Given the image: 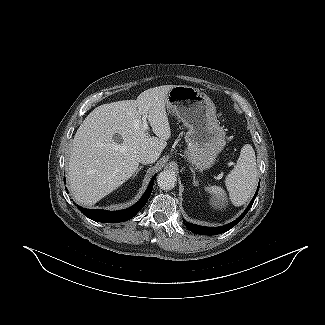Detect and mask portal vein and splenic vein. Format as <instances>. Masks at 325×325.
I'll return each mask as SVG.
<instances>
[{"instance_id":"portal-vein-and-splenic-vein-1","label":"portal vein and splenic vein","mask_w":325,"mask_h":325,"mask_svg":"<svg viewBox=\"0 0 325 325\" xmlns=\"http://www.w3.org/2000/svg\"><path fill=\"white\" fill-rule=\"evenodd\" d=\"M142 126H143L144 131H147L149 129L148 122L146 120V116L142 117Z\"/></svg>"}]
</instances>
